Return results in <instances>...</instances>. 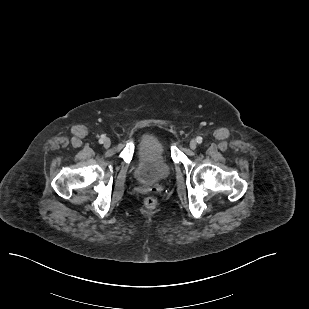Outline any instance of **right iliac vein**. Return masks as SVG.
<instances>
[{
	"mask_svg": "<svg viewBox=\"0 0 309 309\" xmlns=\"http://www.w3.org/2000/svg\"><path fill=\"white\" fill-rule=\"evenodd\" d=\"M110 145H111L110 139H109V138H104V140H103V146H104L105 148H108V147H110Z\"/></svg>",
	"mask_w": 309,
	"mask_h": 309,
	"instance_id": "1",
	"label": "right iliac vein"
}]
</instances>
